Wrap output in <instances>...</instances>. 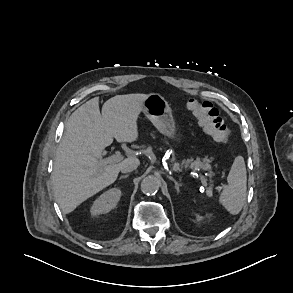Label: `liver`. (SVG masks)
Returning a JSON list of instances; mask_svg holds the SVG:
<instances>
[{
  "label": "liver",
  "instance_id": "6515ba94",
  "mask_svg": "<svg viewBox=\"0 0 293 293\" xmlns=\"http://www.w3.org/2000/svg\"><path fill=\"white\" fill-rule=\"evenodd\" d=\"M146 97L116 95L103 104L102 114L99 99L93 98L69 117L64 138L56 150L51 177L56 202L64 214L114 183L123 163L139 164L136 157L111 164H102L98 159L113 138L118 142L138 139L137 120Z\"/></svg>",
  "mask_w": 293,
  "mask_h": 293
}]
</instances>
